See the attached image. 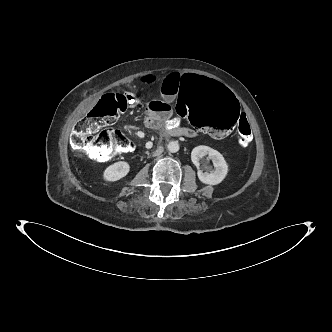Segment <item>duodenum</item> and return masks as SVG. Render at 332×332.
<instances>
[{
    "instance_id": "1",
    "label": "duodenum",
    "mask_w": 332,
    "mask_h": 332,
    "mask_svg": "<svg viewBox=\"0 0 332 332\" xmlns=\"http://www.w3.org/2000/svg\"><path fill=\"white\" fill-rule=\"evenodd\" d=\"M185 136V131L179 127L165 126L162 127L161 137L164 139H169L172 137H183Z\"/></svg>"
}]
</instances>
